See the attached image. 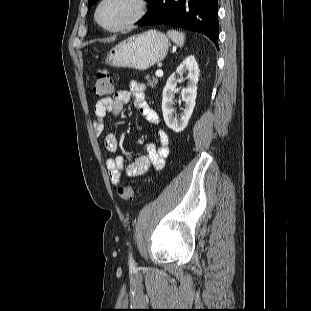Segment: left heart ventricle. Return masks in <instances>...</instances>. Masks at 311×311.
Wrapping results in <instances>:
<instances>
[{
    "mask_svg": "<svg viewBox=\"0 0 311 311\" xmlns=\"http://www.w3.org/2000/svg\"><path fill=\"white\" fill-rule=\"evenodd\" d=\"M133 13V5L128 0H108L100 9V20L109 27L117 26Z\"/></svg>",
    "mask_w": 311,
    "mask_h": 311,
    "instance_id": "obj_1",
    "label": "left heart ventricle"
}]
</instances>
